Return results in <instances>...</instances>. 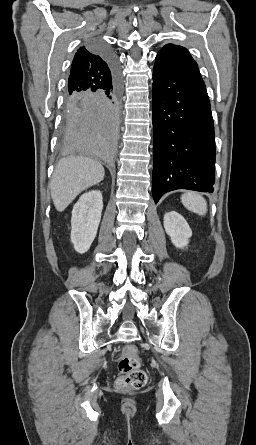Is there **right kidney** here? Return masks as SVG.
Wrapping results in <instances>:
<instances>
[{
	"instance_id": "obj_1",
	"label": "right kidney",
	"mask_w": 256,
	"mask_h": 445,
	"mask_svg": "<svg viewBox=\"0 0 256 445\" xmlns=\"http://www.w3.org/2000/svg\"><path fill=\"white\" fill-rule=\"evenodd\" d=\"M103 209L102 194L99 190L84 193L74 205L71 218V241L74 249L87 252L96 237Z\"/></svg>"
}]
</instances>
